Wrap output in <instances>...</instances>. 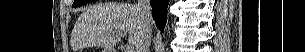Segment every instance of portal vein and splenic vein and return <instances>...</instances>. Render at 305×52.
<instances>
[{"instance_id":"portal-vein-and-splenic-vein-1","label":"portal vein and splenic vein","mask_w":305,"mask_h":52,"mask_svg":"<svg viewBox=\"0 0 305 52\" xmlns=\"http://www.w3.org/2000/svg\"><path fill=\"white\" fill-rule=\"evenodd\" d=\"M126 35V33H123L121 36L124 37ZM126 52H133L132 48L131 47H128L126 49Z\"/></svg>"}]
</instances>
